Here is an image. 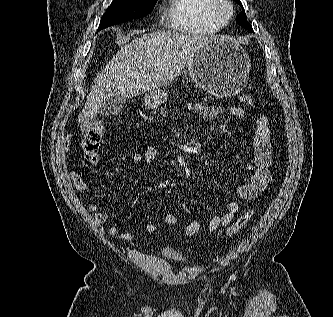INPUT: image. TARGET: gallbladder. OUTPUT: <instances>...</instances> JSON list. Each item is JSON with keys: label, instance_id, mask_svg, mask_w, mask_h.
<instances>
[{"label": "gallbladder", "instance_id": "bac80fb5", "mask_svg": "<svg viewBox=\"0 0 333 317\" xmlns=\"http://www.w3.org/2000/svg\"><path fill=\"white\" fill-rule=\"evenodd\" d=\"M126 103V99L119 96H113L102 103L100 108V115H117L119 114L124 105Z\"/></svg>", "mask_w": 333, "mask_h": 317}]
</instances>
